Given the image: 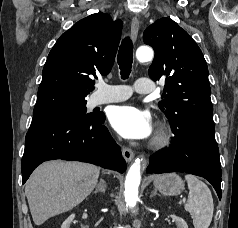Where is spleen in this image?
Here are the masks:
<instances>
[{"instance_id": "1", "label": "spleen", "mask_w": 238, "mask_h": 228, "mask_svg": "<svg viewBox=\"0 0 238 228\" xmlns=\"http://www.w3.org/2000/svg\"><path fill=\"white\" fill-rule=\"evenodd\" d=\"M185 179L189 189L185 210L192 215L195 228H208L214 211L211 191L194 175H185Z\"/></svg>"}]
</instances>
